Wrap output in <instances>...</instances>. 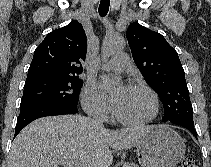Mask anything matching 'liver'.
I'll return each instance as SVG.
<instances>
[{
  "label": "liver",
  "mask_w": 211,
  "mask_h": 167,
  "mask_svg": "<svg viewBox=\"0 0 211 167\" xmlns=\"http://www.w3.org/2000/svg\"><path fill=\"white\" fill-rule=\"evenodd\" d=\"M153 126L121 130L94 128L81 115L37 119L15 138L8 167H58L60 161L78 162V167H110L113 151L137 144Z\"/></svg>",
  "instance_id": "obj_1"
}]
</instances>
